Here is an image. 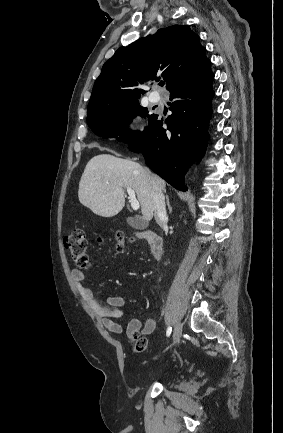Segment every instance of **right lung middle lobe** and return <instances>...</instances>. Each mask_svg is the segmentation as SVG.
I'll list each match as a JSON object with an SVG mask.
<instances>
[{"label": "right lung middle lobe", "mask_w": 283, "mask_h": 433, "mask_svg": "<svg viewBox=\"0 0 283 433\" xmlns=\"http://www.w3.org/2000/svg\"><path fill=\"white\" fill-rule=\"evenodd\" d=\"M145 110L146 108L138 105V101L120 104L88 114L87 123L96 135L114 138L119 136V140L122 139L131 145L138 141L146 130L139 136L138 132L127 129L124 123L129 122L136 115H147L150 124L155 114L148 115V112L143 114L142 111Z\"/></svg>", "instance_id": "right-lung-middle-lobe-1"}]
</instances>
